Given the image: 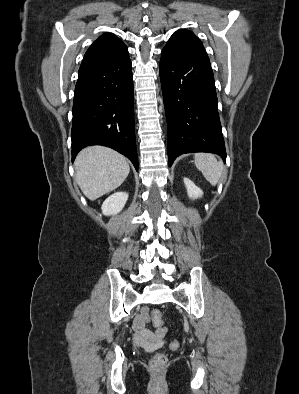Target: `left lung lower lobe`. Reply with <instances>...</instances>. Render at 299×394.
Returning a JSON list of instances; mask_svg holds the SVG:
<instances>
[{"mask_svg": "<svg viewBox=\"0 0 299 394\" xmlns=\"http://www.w3.org/2000/svg\"><path fill=\"white\" fill-rule=\"evenodd\" d=\"M160 78L168 124V157L211 152L226 159L217 108L214 76L208 56L162 50Z\"/></svg>", "mask_w": 299, "mask_h": 394, "instance_id": "obj_1", "label": "left lung lower lobe"}]
</instances>
